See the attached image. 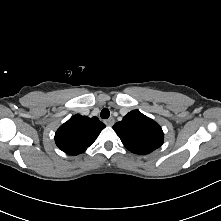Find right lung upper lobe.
<instances>
[{
	"label": "right lung upper lobe",
	"mask_w": 221,
	"mask_h": 221,
	"mask_svg": "<svg viewBox=\"0 0 221 221\" xmlns=\"http://www.w3.org/2000/svg\"><path fill=\"white\" fill-rule=\"evenodd\" d=\"M105 124L97 117L76 114L59 127L55 133L56 145L69 155H78L91 146Z\"/></svg>",
	"instance_id": "cb5924a9"
}]
</instances>
